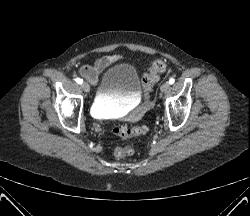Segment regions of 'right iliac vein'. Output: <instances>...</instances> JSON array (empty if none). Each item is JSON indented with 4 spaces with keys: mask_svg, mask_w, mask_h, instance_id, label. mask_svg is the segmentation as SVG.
<instances>
[{
    "mask_svg": "<svg viewBox=\"0 0 250 216\" xmlns=\"http://www.w3.org/2000/svg\"><path fill=\"white\" fill-rule=\"evenodd\" d=\"M81 87L85 92H90V86L88 85V83L82 82Z\"/></svg>",
    "mask_w": 250,
    "mask_h": 216,
    "instance_id": "right-iliac-vein-1",
    "label": "right iliac vein"
}]
</instances>
